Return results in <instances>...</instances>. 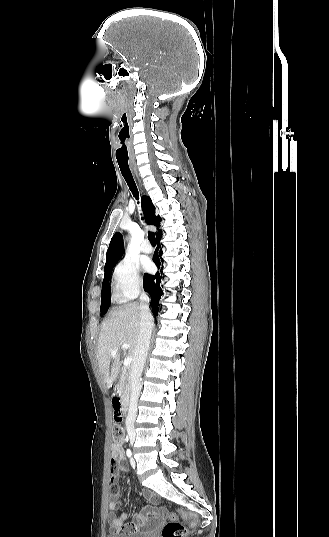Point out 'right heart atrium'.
I'll return each instance as SVG.
<instances>
[{
  "label": "right heart atrium",
  "instance_id": "obj_1",
  "mask_svg": "<svg viewBox=\"0 0 329 537\" xmlns=\"http://www.w3.org/2000/svg\"><path fill=\"white\" fill-rule=\"evenodd\" d=\"M112 284L118 300L135 298L143 287V279L137 263L129 258L121 259L113 269Z\"/></svg>",
  "mask_w": 329,
  "mask_h": 537
}]
</instances>
